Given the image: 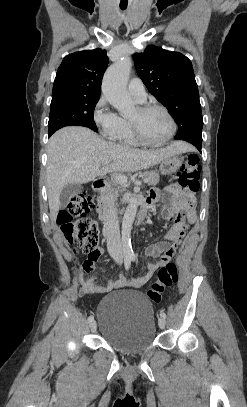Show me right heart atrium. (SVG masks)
Listing matches in <instances>:
<instances>
[{
  "instance_id": "d8ad5b80",
  "label": "right heart atrium",
  "mask_w": 247,
  "mask_h": 407,
  "mask_svg": "<svg viewBox=\"0 0 247 407\" xmlns=\"http://www.w3.org/2000/svg\"><path fill=\"white\" fill-rule=\"evenodd\" d=\"M92 115L93 121L102 135L114 139L121 127L122 118L110 108L104 95L97 100Z\"/></svg>"
}]
</instances>
